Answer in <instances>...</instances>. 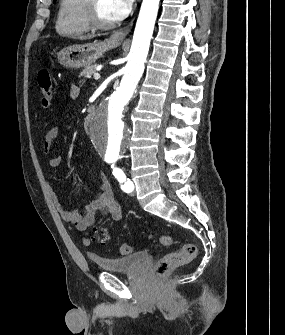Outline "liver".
I'll return each instance as SVG.
<instances>
[{
    "instance_id": "obj_1",
    "label": "liver",
    "mask_w": 285,
    "mask_h": 335,
    "mask_svg": "<svg viewBox=\"0 0 285 335\" xmlns=\"http://www.w3.org/2000/svg\"><path fill=\"white\" fill-rule=\"evenodd\" d=\"M90 38H94V36H79L78 40H90Z\"/></svg>"
}]
</instances>
